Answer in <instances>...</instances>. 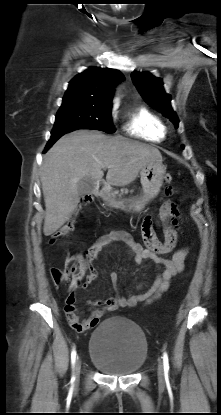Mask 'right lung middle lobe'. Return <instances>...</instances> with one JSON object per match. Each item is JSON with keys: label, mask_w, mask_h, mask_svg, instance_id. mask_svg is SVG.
<instances>
[{"label": "right lung middle lobe", "mask_w": 221, "mask_h": 415, "mask_svg": "<svg viewBox=\"0 0 221 415\" xmlns=\"http://www.w3.org/2000/svg\"><path fill=\"white\" fill-rule=\"evenodd\" d=\"M110 110V102L63 98L51 136H62L77 129H96L113 133L115 127L111 121Z\"/></svg>", "instance_id": "dd1d6c3e"}]
</instances>
